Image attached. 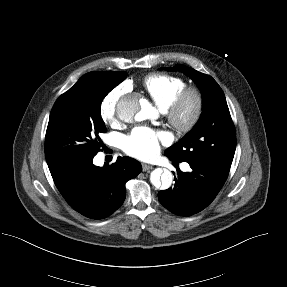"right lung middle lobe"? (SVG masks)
Here are the masks:
<instances>
[{"label": "right lung middle lobe", "instance_id": "obj_1", "mask_svg": "<svg viewBox=\"0 0 287 287\" xmlns=\"http://www.w3.org/2000/svg\"><path fill=\"white\" fill-rule=\"evenodd\" d=\"M119 84L103 71L89 72L55 102L45 136V156L51 173L94 157L107 131L100 107Z\"/></svg>", "mask_w": 287, "mask_h": 287}]
</instances>
